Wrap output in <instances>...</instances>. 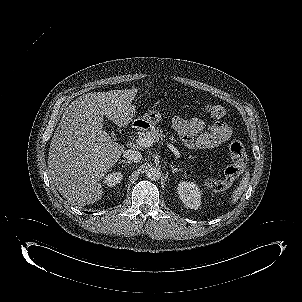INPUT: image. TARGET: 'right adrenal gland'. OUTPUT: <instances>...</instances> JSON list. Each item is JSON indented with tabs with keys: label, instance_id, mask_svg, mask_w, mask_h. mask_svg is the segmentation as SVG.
<instances>
[{
	"label": "right adrenal gland",
	"instance_id": "right-adrenal-gland-1",
	"mask_svg": "<svg viewBox=\"0 0 302 302\" xmlns=\"http://www.w3.org/2000/svg\"><path fill=\"white\" fill-rule=\"evenodd\" d=\"M120 163H124V164H127V165H130V164H131L130 161H126V160H121Z\"/></svg>",
	"mask_w": 302,
	"mask_h": 302
}]
</instances>
